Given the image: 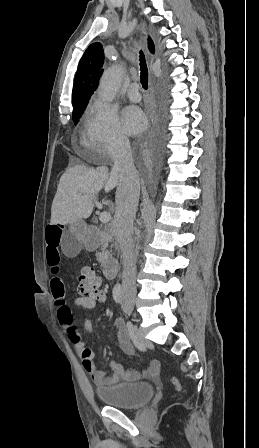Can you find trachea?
I'll list each match as a JSON object with an SVG mask.
<instances>
[{
	"instance_id": "obj_1",
	"label": "trachea",
	"mask_w": 259,
	"mask_h": 448,
	"mask_svg": "<svg viewBox=\"0 0 259 448\" xmlns=\"http://www.w3.org/2000/svg\"><path fill=\"white\" fill-rule=\"evenodd\" d=\"M140 56V71H141V75H140V82L143 86V88L145 90L148 89V68L146 65V61H145V57L142 51L139 52Z\"/></svg>"
}]
</instances>
